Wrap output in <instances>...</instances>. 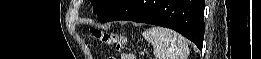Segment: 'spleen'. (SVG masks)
<instances>
[{"instance_id":"3e777b00","label":"spleen","mask_w":261,"mask_h":59,"mask_svg":"<svg viewBox=\"0 0 261 59\" xmlns=\"http://www.w3.org/2000/svg\"><path fill=\"white\" fill-rule=\"evenodd\" d=\"M144 39L153 46L156 59H187V40L177 32L155 26L142 33Z\"/></svg>"}]
</instances>
